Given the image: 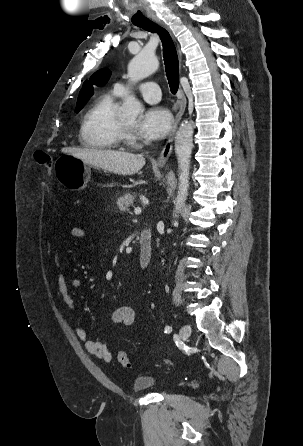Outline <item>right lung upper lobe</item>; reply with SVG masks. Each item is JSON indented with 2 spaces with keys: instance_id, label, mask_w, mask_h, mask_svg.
<instances>
[{
  "instance_id": "1",
  "label": "right lung upper lobe",
  "mask_w": 303,
  "mask_h": 446,
  "mask_svg": "<svg viewBox=\"0 0 303 446\" xmlns=\"http://www.w3.org/2000/svg\"><path fill=\"white\" fill-rule=\"evenodd\" d=\"M110 77V71L107 69H101L94 73L89 81H85L83 87L79 93L77 107L85 105L89 98L93 95V86L104 85Z\"/></svg>"
}]
</instances>
